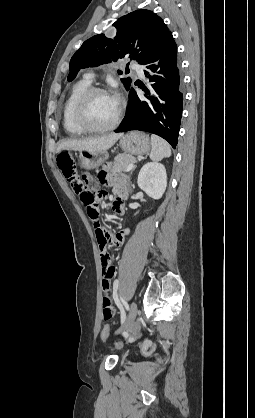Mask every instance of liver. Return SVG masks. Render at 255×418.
I'll return each instance as SVG.
<instances>
[{"mask_svg": "<svg viewBox=\"0 0 255 418\" xmlns=\"http://www.w3.org/2000/svg\"><path fill=\"white\" fill-rule=\"evenodd\" d=\"M122 135V133H111L101 137L64 140L60 142L56 152L60 153L62 150L87 152L107 151Z\"/></svg>", "mask_w": 255, "mask_h": 418, "instance_id": "1", "label": "liver"}]
</instances>
